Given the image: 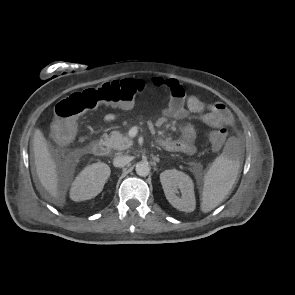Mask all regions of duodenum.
I'll return each mask as SVG.
<instances>
[{"label": "duodenum", "instance_id": "duodenum-1", "mask_svg": "<svg viewBox=\"0 0 295 295\" xmlns=\"http://www.w3.org/2000/svg\"><path fill=\"white\" fill-rule=\"evenodd\" d=\"M84 150L87 153H93L96 156H101L102 157V156H105V155L108 154L109 147H108L107 143H105V142L94 141V142H91V143L87 144L84 147Z\"/></svg>", "mask_w": 295, "mask_h": 295}]
</instances>
